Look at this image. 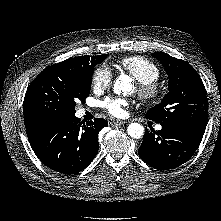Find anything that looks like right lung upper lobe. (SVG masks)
Listing matches in <instances>:
<instances>
[{"instance_id":"right-lung-upper-lobe-1","label":"right lung upper lobe","mask_w":221,"mask_h":221,"mask_svg":"<svg viewBox=\"0 0 221 221\" xmlns=\"http://www.w3.org/2000/svg\"><path fill=\"white\" fill-rule=\"evenodd\" d=\"M92 57L90 56H79L71 59H67L63 62H60L58 64H61L65 67L75 69V70H80V69H85L92 63Z\"/></svg>"}]
</instances>
